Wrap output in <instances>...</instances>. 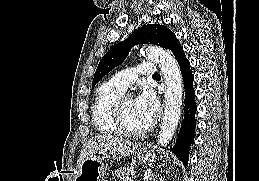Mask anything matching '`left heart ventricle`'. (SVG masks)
<instances>
[{"label":"left heart ventricle","mask_w":259,"mask_h":181,"mask_svg":"<svg viewBox=\"0 0 259 181\" xmlns=\"http://www.w3.org/2000/svg\"><path fill=\"white\" fill-rule=\"evenodd\" d=\"M124 113L126 122L131 127H143L150 122V120L145 118L139 111L135 98H129L124 102Z\"/></svg>","instance_id":"1"}]
</instances>
